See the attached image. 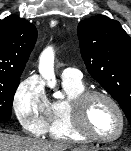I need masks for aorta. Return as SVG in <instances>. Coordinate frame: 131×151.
Returning <instances> with one entry per match:
<instances>
[{"label": "aorta", "mask_w": 131, "mask_h": 151, "mask_svg": "<svg viewBox=\"0 0 131 151\" xmlns=\"http://www.w3.org/2000/svg\"><path fill=\"white\" fill-rule=\"evenodd\" d=\"M54 56L51 49L43 52L39 62V72L48 81V85L52 88L55 85L54 75Z\"/></svg>", "instance_id": "aorta-1"}]
</instances>
